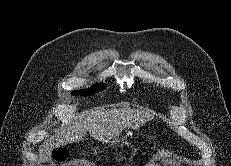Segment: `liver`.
<instances>
[{
    "label": "liver",
    "instance_id": "liver-1",
    "mask_svg": "<svg viewBox=\"0 0 231 166\" xmlns=\"http://www.w3.org/2000/svg\"><path fill=\"white\" fill-rule=\"evenodd\" d=\"M153 118L149 111L130 108L101 109L76 115L73 122L40 146L39 159L42 162L50 160L54 148L80 141L87 132L95 140L108 142L119 137L123 130H137Z\"/></svg>",
    "mask_w": 231,
    "mask_h": 166
}]
</instances>
